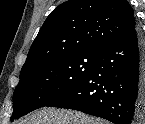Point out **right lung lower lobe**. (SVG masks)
<instances>
[{
	"mask_svg": "<svg viewBox=\"0 0 145 124\" xmlns=\"http://www.w3.org/2000/svg\"><path fill=\"white\" fill-rule=\"evenodd\" d=\"M47 107L78 110L115 124H131L145 107V56L138 27L107 45L88 74Z\"/></svg>",
	"mask_w": 145,
	"mask_h": 124,
	"instance_id": "obj_1",
	"label": "right lung lower lobe"
}]
</instances>
